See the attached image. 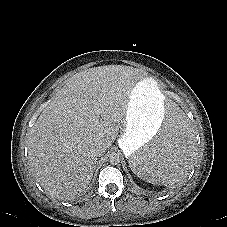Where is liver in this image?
I'll list each match as a JSON object with an SVG mask.
<instances>
[{"mask_svg":"<svg viewBox=\"0 0 227 227\" xmlns=\"http://www.w3.org/2000/svg\"><path fill=\"white\" fill-rule=\"evenodd\" d=\"M144 75L129 66H99L58 90L28 133L30 170L46 192L70 199L87 188L98 160L96 146L113 144L131 92Z\"/></svg>","mask_w":227,"mask_h":227,"instance_id":"obj_1","label":"liver"}]
</instances>
